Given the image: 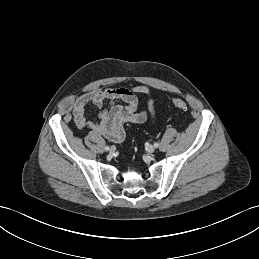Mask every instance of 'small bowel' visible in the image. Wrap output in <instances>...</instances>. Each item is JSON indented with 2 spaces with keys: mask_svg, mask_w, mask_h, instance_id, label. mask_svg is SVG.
I'll list each match as a JSON object with an SVG mask.
<instances>
[{
  "mask_svg": "<svg viewBox=\"0 0 259 259\" xmlns=\"http://www.w3.org/2000/svg\"><path fill=\"white\" fill-rule=\"evenodd\" d=\"M138 94L150 96V90L147 87H118L89 91L72 101L74 123L79 129H91L111 142L121 143L126 136L125 126L143 124L154 117L151 98L147 110L138 111ZM106 102L108 106L104 108ZM88 104L102 109L98 120L86 118L85 108Z\"/></svg>",
  "mask_w": 259,
  "mask_h": 259,
  "instance_id": "c3829d8e",
  "label": "small bowel"
}]
</instances>
